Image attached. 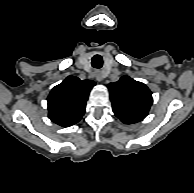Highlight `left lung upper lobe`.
<instances>
[{
    "mask_svg": "<svg viewBox=\"0 0 194 193\" xmlns=\"http://www.w3.org/2000/svg\"><path fill=\"white\" fill-rule=\"evenodd\" d=\"M114 114L124 123L143 120L153 103L152 93L142 82L128 76L108 84Z\"/></svg>",
    "mask_w": 194,
    "mask_h": 193,
    "instance_id": "left-lung-upper-lobe-1",
    "label": "left lung upper lobe"
}]
</instances>
